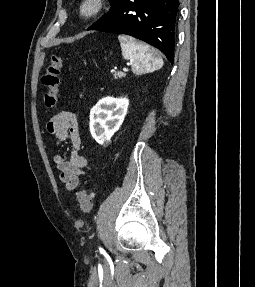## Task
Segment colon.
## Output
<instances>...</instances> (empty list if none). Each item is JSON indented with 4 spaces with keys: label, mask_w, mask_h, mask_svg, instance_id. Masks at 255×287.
<instances>
[{
    "label": "colon",
    "mask_w": 255,
    "mask_h": 287,
    "mask_svg": "<svg viewBox=\"0 0 255 287\" xmlns=\"http://www.w3.org/2000/svg\"><path fill=\"white\" fill-rule=\"evenodd\" d=\"M62 67L63 58L59 55H52L49 65L42 77V83L46 87V91L43 95L46 108H53L56 105ZM92 199L93 196L86 188L79 190L77 193L80 208L85 214L90 213L92 210Z\"/></svg>",
    "instance_id": "1"
}]
</instances>
